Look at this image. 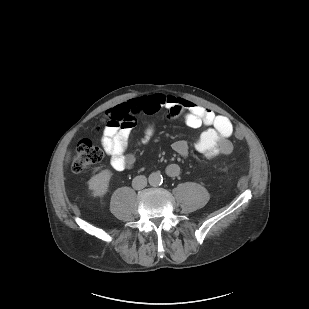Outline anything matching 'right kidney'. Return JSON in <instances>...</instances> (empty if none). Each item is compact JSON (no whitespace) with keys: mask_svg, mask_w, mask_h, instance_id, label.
I'll return each instance as SVG.
<instances>
[{"mask_svg":"<svg viewBox=\"0 0 309 309\" xmlns=\"http://www.w3.org/2000/svg\"><path fill=\"white\" fill-rule=\"evenodd\" d=\"M111 172L103 170L100 173L91 177L88 181L89 189L93 191L94 196H103L108 191Z\"/></svg>","mask_w":309,"mask_h":309,"instance_id":"right-kidney-1","label":"right kidney"}]
</instances>
